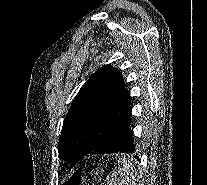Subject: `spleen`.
Instances as JSON below:
<instances>
[{
    "label": "spleen",
    "mask_w": 207,
    "mask_h": 185,
    "mask_svg": "<svg viewBox=\"0 0 207 185\" xmlns=\"http://www.w3.org/2000/svg\"><path fill=\"white\" fill-rule=\"evenodd\" d=\"M133 159L116 158L115 170H110L105 185H137L140 174L138 167H132Z\"/></svg>",
    "instance_id": "3e777b00"
}]
</instances>
